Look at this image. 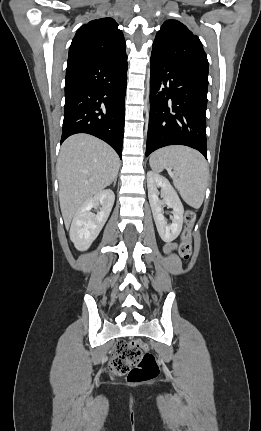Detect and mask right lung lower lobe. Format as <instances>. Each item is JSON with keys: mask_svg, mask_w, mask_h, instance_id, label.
I'll list each match as a JSON object with an SVG mask.
<instances>
[{"mask_svg": "<svg viewBox=\"0 0 261 431\" xmlns=\"http://www.w3.org/2000/svg\"><path fill=\"white\" fill-rule=\"evenodd\" d=\"M127 55L69 62L61 143L76 133L94 135L122 157Z\"/></svg>", "mask_w": 261, "mask_h": 431, "instance_id": "obj_1", "label": "right lung lower lobe"}]
</instances>
